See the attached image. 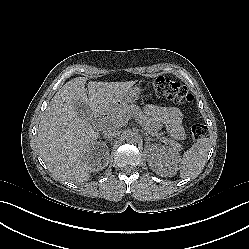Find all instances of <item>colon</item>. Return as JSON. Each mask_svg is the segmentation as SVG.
<instances>
[{"label": "colon", "instance_id": "5ec220e1", "mask_svg": "<svg viewBox=\"0 0 249 249\" xmlns=\"http://www.w3.org/2000/svg\"><path fill=\"white\" fill-rule=\"evenodd\" d=\"M150 86L159 95L166 97L179 105H186L193 101L194 97L189 90L180 82L165 77L156 78ZM207 130L204 126L196 124L192 127V137L200 139L204 137Z\"/></svg>", "mask_w": 249, "mask_h": 249}]
</instances>
